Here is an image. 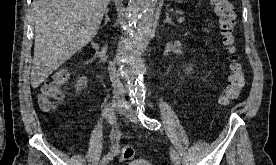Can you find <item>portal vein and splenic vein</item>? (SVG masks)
Masks as SVG:
<instances>
[{
	"instance_id": "1",
	"label": "portal vein and splenic vein",
	"mask_w": 276,
	"mask_h": 165,
	"mask_svg": "<svg viewBox=\"0 0 276 165\" xmlns=\"http://www.w3.org/2000/svg\"><path fill=\"white\" fill-rule=\"evenodd\" d=\"M185 20V17L184 16H180L179 18H178V22H183Z\"/></svg>"
}]
</instances>
